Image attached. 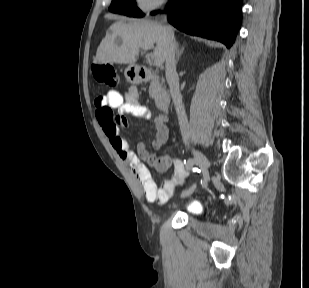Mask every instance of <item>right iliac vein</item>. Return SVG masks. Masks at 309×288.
I'll return each instance as SVG.
<instances>
[{
	"instance_id": "1",
	"label": "right iliac vein",
	"mask_w": 309,
	"mask_h": 288,
	"mask_svg": "<svg viewBox=\"0 0 309 288\" xmlns=\"http://www.w3.org/2000/svg\"><path fill=\"white\" fill-rule=\"evenodd\" d=\"M192 154L194 156L195 161H200L202 164V167L200 168L203 178L206 180L208 177V169H209V161L206 158V156L201 153L200 151L196 149H192ZM194 190H192L191 193H193ZM191 193H187V196Z\"/></svg>"
}]
</instances>
